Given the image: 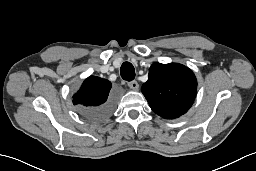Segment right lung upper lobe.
<instances>
[{"label": "right lung upper lobe", "mask_w": 256, "mask_h": 171, "mask_svg": "<svg viewBox=\"0 0 256 171\" xmlns=\"http://www.w3.org/2000/svg\"><path fill=\"white\" fill-rule=\"evenodd\" d=\"M111 82L96 76H90L83 82L80 90L73 96V104L78 105L81 113L105 104L111 98Z\"/></svg>", "instance_id": "cb5924a9"}]
</instances>
